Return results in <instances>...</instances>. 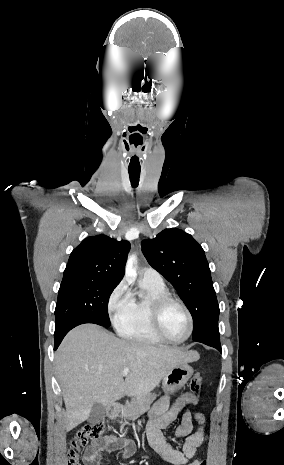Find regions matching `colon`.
I'll return each instance as SVG.
<instances>
[{"instance_id": "colon-1", "label": "colon", "mask_w": 284, "mask_h": 465, "mask_svg": "<svg viewBox=\"0 0 284 465\" xmlns=\"http://www.w3.org/2000/svg\"><path fill=\"white\" fill-rule=\"evenodd\" d=\"M204 381V377L201 373H196L192 379V393L197 395L200 390V386ZM184 428H188L189 424L184 423ZM104 424L99 422L94 425L87 426L85 428L79 429L77 433L73 436L71 444L73 450L71 452V458L68 461L67 465H80V450L79 445L83 442H88L91 439L98 438L104 433ZM199 465H208L207 462H200Z\"/></svg>"}]
</instances>
